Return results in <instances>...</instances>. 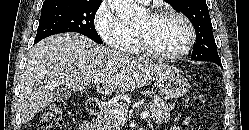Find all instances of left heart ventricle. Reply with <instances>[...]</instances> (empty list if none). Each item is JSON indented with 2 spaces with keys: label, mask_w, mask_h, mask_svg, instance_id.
Segmentation results:
<instances>
[{
  "label": "left heart ventricle",
  "mask_w": 249,
  "mask_h": 130,
  "mask_svg": "<svg viewBox=\"0 0 249 130\" xmlns=\"http://www.w3.org/2000/svg\"><path fill=\"white\" fill-rule=\"evenodd\" d=\"M136 29L145 35L150 47L160 54L179 51L188 38L184 23L172 16L153 18L148 14Z\"/></svg>",
  "instance_id": "1"
}]
</instances>
